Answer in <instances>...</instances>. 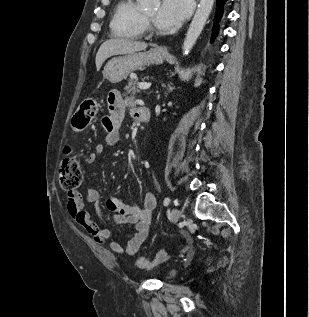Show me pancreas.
Listing matches in <instances>:
<instances>
[{
    "label": "pancreas",
    "instance_id": "pancreas-1",
    "mask_svg": "<svg viewBox=\"0 0 309 317\" xmlns=\"http://www.w3.org/2000/svg\"><path fill=\"white\" fill-rule=\"evenodd\" d=\"M125 92H124V96L130 94V95H135L137 93L140 92L139 88H138V82L135 80V77H131L128 80V85L125 86L124 88Z\"/></svg>",
    "mask_w": 309,
    "mask_h": 317
}]
</instances>
